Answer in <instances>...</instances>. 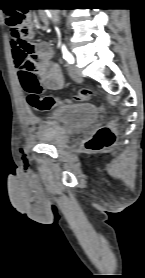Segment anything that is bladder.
I'll return each mask as SVG.
<instances>
[{"label":"bladder","instance_id":"31cf9c89","mask_svg":"<svg viewBox=\"0 0 145 278\" xmlns=\"http://www.w3.org/2000/svg\"><path fill=\"white\" fill-rule=\"evenodd\" d=\"M98 118L92 104L60 105L40 129L38 141L52 147H63L69 139L89 129Z\"/></svg>","mask_w":145,"mask_h":278}]
</instances>
